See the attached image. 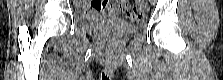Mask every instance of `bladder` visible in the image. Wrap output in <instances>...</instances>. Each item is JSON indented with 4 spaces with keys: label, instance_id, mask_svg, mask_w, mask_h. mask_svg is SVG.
I'll use <instances>...</instances> for the list:
<instances>
[{
    "label": "bladder",
    "instance_id": "31cf9c89",
    "mask_svg": "<svg viewBox=\"0 0 223 80\" xmlns=\"http://www.w3.org/2000/svg\"><path fill=\"white\" fill-rule=\"evenodd\" d=\"M78 25L90 31H103L111 29L119 34L129 35L138 31L136 24H130L121 18L111 14L80 15L77 18Z\"/></svg>",
    "mask_w": 223,
    "mask_h": 80
}]
</instances>
